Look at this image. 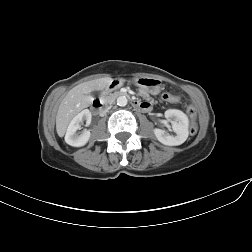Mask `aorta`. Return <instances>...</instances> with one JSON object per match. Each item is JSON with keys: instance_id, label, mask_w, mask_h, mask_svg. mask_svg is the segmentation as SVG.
Masks as SVG:
<instances>
[{"instance_id": "obj_1", "label": "aorta", "mask_w": 252, "mask_h": 252, "mask_svg": "<svg viewBox=\"0 0 252 252\" xmlns=\"http://www.w3.org/2000/svg\"><path fill=\"white\" fill-rule=\"evenodd\" d=\"M128 103V99L126 96H120L117 98V105L118 106H126Z\"/></svg>"}]
</instances>
